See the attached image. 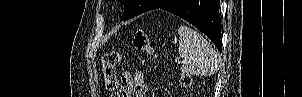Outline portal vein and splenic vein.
Instances as JSON below:
<instances>
[{"instance_id":"1","label":"portal vein and splenic vein","mask_w":302,"mask_h":97,"mask_svg":"<svg viewBox=\"0 0 302 97\" xmlns=\"http://www.w3.org/2000/svg\"><path fill=\"white\" fill-rule=\"evenodd\" d=\"M181 63H183V64H184V63H186V61H185V60H183V61H181Z\"/></svg>"}]
</instances>
